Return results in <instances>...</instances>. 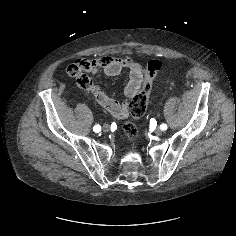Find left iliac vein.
<instances>
[{"label":"left iliac vein","mask_w":236,"mask_h":236,"mask_svg":"<svg viewBox=\"0 0 236 236\" xmlns=\"http://www.w3.org/2000/svg\"><path fill=\"white\" fill-rule=\"evenodd\" d=\"M154 132L157 134V135H160L162 133V129L161 128H156L154 130Z\"/></svg>","instance_id":"4c4485c4"}]
</instances>
